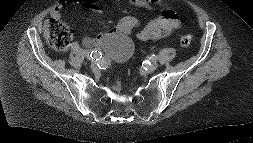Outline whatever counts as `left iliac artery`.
<instances>
[{"label":"left iliac artery","instance_id":"1","mask_svg":"<svg viewBox=\"0 0 253 143\" xmlns=\"http://www.w3.org/2000/svg\"><path fill=\"white\" fill-rule=\"evenodd\" d=\"M157 59H158V57H157L156 55L153 54V55L151 56V60H152V61H156Z\"/></svg>","mask_w":253,"mask_h":143}]
</instances>
